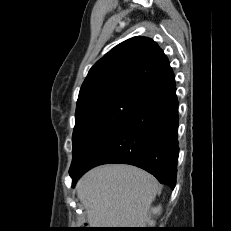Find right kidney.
I'll use <instances>...</instances> for the list:
<instances>
[{
  "instance_id": "right-kidney-1",
  "label": "right kidney",
  "mask_w": 231,
  "mask_h": 231,
  "mask_svg": "<svg viewBox=\"0 0 231 231\" xmlns=\"http://www.w3.org/2000/svg\"><path fill=\"white\" fill-rule=\"evenodd\" d=\"M160 212H161V206H158V207L152 209L153 214H160ZM150 224L153 225L154 222L150 221Z\"/></svg>"
}]
</instances>
